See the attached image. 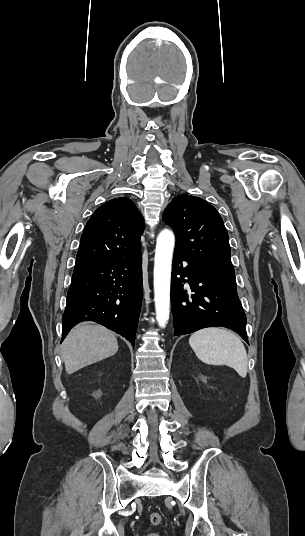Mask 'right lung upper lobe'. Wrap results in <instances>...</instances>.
<instances>
[{
    "label": "right lung upper lobe",
    "mask_w": 305,
    "mask_h": 536,
    "mask_svg": "<svg viewBox=\"0 0 305 536\" xmlns=\"http://www.w3.org/2000/svg\"><path fill=\"white\" fill-rule=\"evenodd\" d=\"M143 231V217L130 199L120 197L108 201L86 224L74 270L140 253Z\"/></svg>",
    "instance_id": "right-lung-upper-lobe-1"
}]
</instances>
